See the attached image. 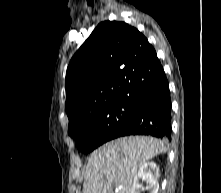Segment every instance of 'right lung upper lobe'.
Masks as SVG:
<instances>
[{"instance_id":"obj_1","label":"right lung upper lobe","mask_w":221,"mask_h":193,"mask_svg":"<svg viewBox=\"0 0 221 193\" xmlns=\"http://www.w3.org/2000/svg\"><path fill=\"white\" fill-rule=\"evenodd\" d=\"M161 68L156 51L136 28L101 22L67 68L68 132L80 119L115 101L138 99Z\"/></svg>"}]
</instances>
